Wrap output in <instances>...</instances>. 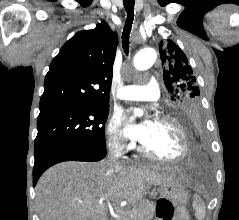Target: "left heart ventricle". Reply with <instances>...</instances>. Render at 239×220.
<instances>
[{
  "label": "left heart ventricle",
  "instance_id": "left-heart-ventricle-1",
  "mask_svg": "<svg viewBox=\"0 0 239 220\" xmlns=\"http://www.w3.org/2000/svg\"><path fill=\"white\" fill-rule=\"evenodd\" d=\"M148 135L142 144L153 154L173 158L182 150L181 135L176 127L155 120L145 122Z\"/></svg>",
  "mask_w": 239,
  "mask_h": 220
}]
</instances>
